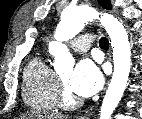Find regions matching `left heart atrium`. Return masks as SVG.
Instances as JSON below:
<instances>
[{
    "label": "left heart atrium",
    "mask_w": 142,
    "mask_h": 119,
    "mask_svg": "<svg viewBox=\"0 0 142 119\" xmlns=\"http://www.w3.org/2000/svg\"><path fill=\"white\" fill-rule=\"evenodd\" d=\"M103 76L98 66L90 60L80 61L69 79L70 90L81 97H89L99 91Z\"/></svg>",
    "instance_id": "left-heart-atrium-1"
}]
</instances>
